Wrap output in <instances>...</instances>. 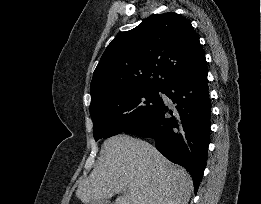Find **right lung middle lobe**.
Segmentation results:
<instances>
[{
  "label": "right lung middle lobe",
  "instance_id": "obj_1",
  "mask_svg": "<svg viewBox=\"0 0 261 204\" xmlns=\"http://www.w3.org/2000/svg\"><path fill=\"white\" fill-rule=\"evenodd\" d=\"M159 92L161 90L121 91L90 107L95 140L117 135L140 121L160 102Z\"/></svg>",
  "mask_w": 261,
  "mask_h": 204
}]
</instances>
